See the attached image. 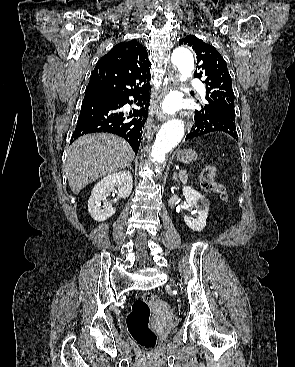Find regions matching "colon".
<instances>
[{
	"mask_svg": "<svg viewBox=\"0 0 295 367\" xmlns=\"http://www.w3.org/2000/svg\"><path fill=\"white\" fill-rule=\"evenodd\" d=\"M216 169L207 166L200 175L202 189L209 193L218 194L222 200H227V192L215 180ZM155 300V294L145 292L137 299L126 319L127 329L132 338L145 350H152L157 342L156 333L149 327L150 305Z\"/></svg>",
	"mask_w": 295,
	"mask_h": 367,
	"instance_id": "obj_1",
	"label": "colon"
}]
</instances>
